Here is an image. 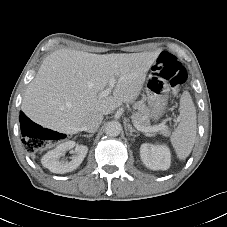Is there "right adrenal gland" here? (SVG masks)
Returning <instances> with one entry per match:
<instances>
[{"instance_id": "right-adrenal-gland-1", "label": "right adrenal gland", "mask_w": 227, "mask_h": 227, "mask_svg": "<svg viewBox=\"0 0 227 227\" xmlns=\"http://www.w3.org/2000/svg\"><path fill=\"white\" fill-rule=\"evenodd\" d=\"M93 133L92 134H86V135H83L84 137H87V138H90V137H93Z\"/></svg>"}]
</instances>
